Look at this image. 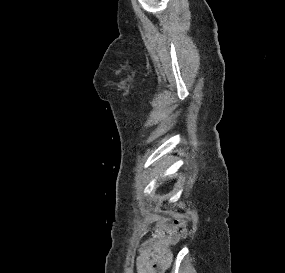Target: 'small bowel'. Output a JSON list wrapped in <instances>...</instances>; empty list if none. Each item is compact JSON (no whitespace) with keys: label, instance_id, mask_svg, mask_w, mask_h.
I'll use <instances>...</instances> for the list:
<instances>
[{"label":"small bowel","instance_id":"c3829d8e","mask_svg":"<svg viewBox=\"0 0 285 273\" xmlns=\"http://www.w3.org/2000/svg\"><path fill=\"white\" fill-rule=\"evenodd\" d=\"M178 241L179 235L172 222L169 219L161 220L155 236L139 248L137 273H163L172 261L171 247Z\"/></svg>","mask_w":285,"mask_h":273}]
</instances>
